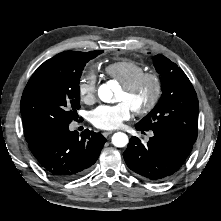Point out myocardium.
Here are the masks:
<instances>
[{"label":"myocardium","mask_w":221,"mask_h":221,"mask_svg":"<svg viewBox=\"0 0 221 221\" xmlns=\"http://www.w3.org/2000/svg\"><path fill=\"white\" fill-rule=\"evenodd\" d=\"M149 83L152 86V95L149 101L142 107L133 109L137 115H146L152 112L162 97L163 82L161 77L155 72H144L133 80L122 85V89L128 93H134L144 84Z\"/></svg>","instance_id":"1"}]
</instances>
